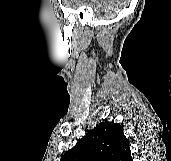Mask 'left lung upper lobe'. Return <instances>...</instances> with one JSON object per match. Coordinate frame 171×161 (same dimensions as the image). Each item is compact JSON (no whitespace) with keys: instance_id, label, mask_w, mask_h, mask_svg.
<instances>
[{"instance_id":"1","label":"left lung upper lobe","mask_w":171,"mask_h":161,"mask_svg":"<svg viewBox=\"0 0 171 161\" xmlns=\"http://www.w3.org/2000/svg\"><path fill=\"white\" fill-rule=\"evenodd\" d=\"M129 140L120 124L100 123L86 134L60 161H131Z\"/></svg>"}]
</instances>
